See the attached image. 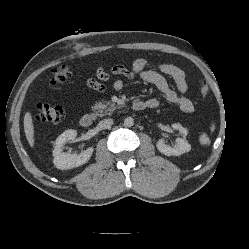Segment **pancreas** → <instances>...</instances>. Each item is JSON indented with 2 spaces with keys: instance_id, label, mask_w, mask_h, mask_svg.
<instances>
[{
  "instance_id": "cf45deb5",
  "label": "pancreas",
  "mask_w": 249,
  "mask_h": 249,
  "mask_svg": "<svg viewBox=\"0 0 249 249\" xmlns=\"http://www.w3.org/2000/svg\"><path fill=\"white\" fill-rule=\"evenodd\" d=\"M116 109V106L112 102H101L98 101L93 106V110L95 112V116H105L107 114H111Z\"/></svg>"
}]
</instances>
